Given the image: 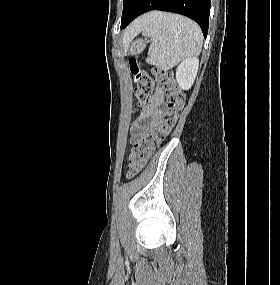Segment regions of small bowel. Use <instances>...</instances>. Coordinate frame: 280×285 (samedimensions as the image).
Returning <instances> with one entry per match:
<instances>
[{
	"label": "small bowel",
	"instance_id": "1",
	"mask_svg": "<svg viewBox=\"0 0 280 285\" xmlns=\"http://www.w3.org/2000/svg\"><path fill=\"white\" fill-rule=\"evenodd\" d=\"M164 104V98L159 89L156 90L151 101L142 108L140 114L137 116L132 125V141L138 140L144 133H146L154 123L155 119L161 116V107Z\"/></svg>",
	"mask_w": 280,
	"mask_h": 285
}]
</instances>
